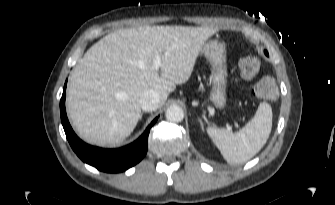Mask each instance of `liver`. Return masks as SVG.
Returning <instances> with one entry per match:
<instances>
[{
	"instance_id": "liver-1",
	"label": "liver",
	"mask_w": 335,
	"mask_h": 205,
	"mask_svg": "<svg viewBox=\"0 0 335 205\" xmlns=\"http://www.w3.org/2000/svg\"><path fill=\"white\" fill-rule=\"evenodd\" d=\"M217 29L139 26L110 33L78 61L67 90V111L88 143L114 146L125 140L142 116L139 99L154 90L159 107L176 85L186 83L204 43ZM159 55L161 67L153 68Z\"/></svg>"
}]
</instances>
